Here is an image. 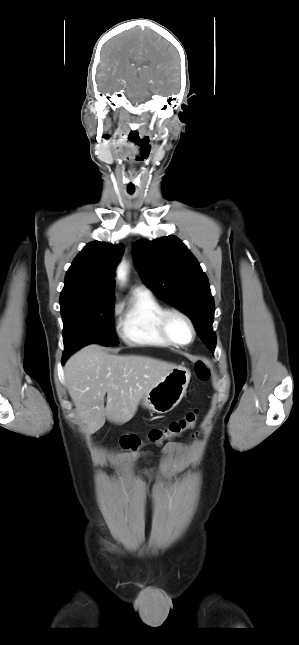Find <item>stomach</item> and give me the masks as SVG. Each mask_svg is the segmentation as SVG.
I'll list each match as a JSON object with an SVG mask.
<instances>
[{
	"label": "stomach",
	"mask_w": 299,
	"mask_h": 645,
	"mask_svg": "<svg viewBox=\"0 0 299 645\" xmlns=\"http://www.w3.org/2000/svg\"><path fill=\"white\" fill-rule=\"evenodd\" d=\"M190 377L182 366L172 369L142 397V407L159 414L170 412L182 400Z\"/></svg>",
	"instance_id": "1"
}]
</instances>
